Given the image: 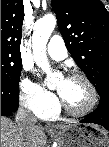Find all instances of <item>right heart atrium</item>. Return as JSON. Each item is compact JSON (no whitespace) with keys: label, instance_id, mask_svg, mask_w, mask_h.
I'll return each instance as SVG.
<instances>
[{"label":"right heart atrium","instance_id":"d8ad5b80","mask_svg":"<svg viewBox=\"0 0 109 147\" xmlns=\"http://www.w3.org/2000/svg\"><path fill=\"white\" fill-rule=\"evenodd\" d=\"M19 96L21 103L37 115L52 109L57 101L51 93L26 75L20 81Z\"/></svg>","mask_w":109,"mask_h":147}]
</instances>
